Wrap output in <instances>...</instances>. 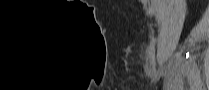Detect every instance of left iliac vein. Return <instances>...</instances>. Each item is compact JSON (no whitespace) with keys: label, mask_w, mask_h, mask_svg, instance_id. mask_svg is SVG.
<instances>
[{"label":"left iliac vein","mask_w":209,"mask_h":90,"mask_svg":"<svg viewBox=\"0 0 209 90\" xmlns=\"http://www.w3.org/2000/svg\"><path fill=\"white\" fill-rule=\"evenodd\" d=\"M190 86L195 87V77L192 75L189 77Z\"/></svg>","instance_id":"obj_1"}]
</instances>
